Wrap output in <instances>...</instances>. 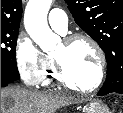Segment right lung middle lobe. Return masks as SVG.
Segmentation results:
<instances>
[{
	"mask_svg": "<svg viewBox=\"0 0 123 113\" xmlns=\"http://www.w3.org/2000/svg\"><path fill=\"white\" fill-rule=\"evenodd\" d=\"M19 30L1 31V83L20 78L16 64V44Z\"/></svg>",
	"mask_w": 123,
	"mask_h": 113,
	"instance_id": "dd1d6c3e",
	"label": "right lung middle lobe"
}]
</instances>
